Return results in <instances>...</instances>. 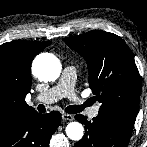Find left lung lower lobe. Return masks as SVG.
I'll return each instance as SVG.
<instances>
[{
    "label": "left lung lower lobe",
    "instance_id": "left-lung-lower-lobe-1",
    "mask_svg": "<svg viewBox=\"0 0 147 147\" xmlns=\"http://www.w3.org/2000/svg\"><path fill=\"white\" fill-rule=\"evenodd\" d=\"M75 119L85 125V135L74 147H127L131 135L108 120L87 117L81 114Z\"/></svg>",
    "mask_w": 147,
    "mask_h": 147
}]
</instances>
